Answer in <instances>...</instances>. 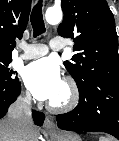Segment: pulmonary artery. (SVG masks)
Instances as JSON below:
<instances>
[{
	"label": "pulmonary artery",
	"instance_id": "1",
	"mask_svg": "<svg viewBox=\"0 0 119 141\" xmlns=\"http://www.w3.org/2000/svg\"><path fill=\"white\" fill-rule=\"evenodd\" d=\"M64 46V43L57 38H53L49 42V47L55 50L63 49ZM20 47L23 50V52L20 54V57L25 60L41 57L45 55L49 49L46 44L40 43L31 45L22 43Z\"/></svg>",
	"mask_w": 119,
	"mask_h": 141
}]
</instances>
